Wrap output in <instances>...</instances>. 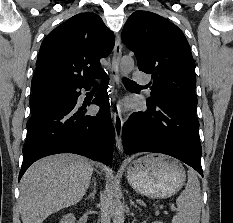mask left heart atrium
I'll list each match as a JSON object with an SVG mask.
<instances>
[{
	"label": "left heart atrium",
	"instance_id": "obj_1",
	"mask_svg": "<svg viewBox=\"0 0 233 223\" xmlns=\"http://www.w3.org/2000/svg\"><path fill=\"white\" fill-rule=\"evenodd\" d=\"M121 109H122V110L124 109V105H121Z\"/></svg>",
	"mask_w": 233,
	"mask_h": 223
}]
</instances>
